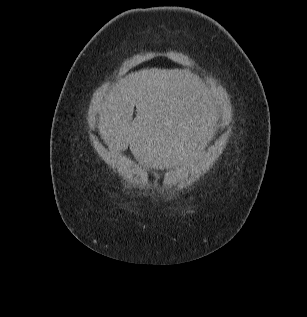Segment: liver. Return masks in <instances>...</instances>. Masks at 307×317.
I'll return each mask as SVG.
<instances>
[{"label": "liver", "instance_id": "obj_1", "mask_svg": "<svg viewBox=\"0 0 307 317\" xmlns=\"http://www.w3.org/2000/svg\"><path fill=\"white\" fill-rule=\"evenodd\" d=\"M92 105L109 148L130 146L145 171L161 172L162 167L182 171L202 157L196 149L208 148L209 133L216 141L214 125L221 118L216 111L224 102L213 101L188 69L147 68L120 78L107 91L98 90Z\"/></svg>", "mask_w": 307, "mask_h": 317}]
</instances>
